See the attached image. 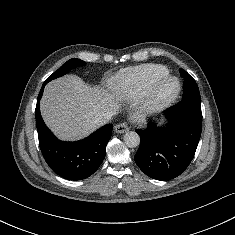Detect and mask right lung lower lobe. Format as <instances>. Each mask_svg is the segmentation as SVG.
I'll return each instance as SVG.
<instances>
[{"instance_id":"98d812e1","label":"right lung lower lobe","mask_w":235,"mask_h":235,"mask_svg":"<svg viewBox=\"0 0 235 235\" xmlns=\"http://www.w3.org/2000/svg\"><path fill=\"white\" fill-rule=\"evenodd\" d=\"M46 84H43L39 92L35 110L39 145L43 157L59 176L68 180L85 179L92 175L104 160L113 125L107 124L80 141L58 140L47 128L40 113V99Z\"/></svg>"}]
</instances>
